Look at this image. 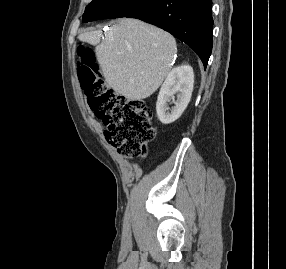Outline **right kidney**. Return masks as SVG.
<instances>
[{
  "mask_svg": "<svg viewBox=\"0 0 286 269\" xmlns=\"http://www.w3.org/2000/svg\"><path fill=\"white\" fill-rule=\"evenodd\" d=\"M194 84L193 69L189 65L178 66L168 74L164 81L156 103V111L159 120L163 124H170L177 120L190 102ZM177 101L171 112H168V104L174 95Z\"/></svg>",
  "mask_w": 286,
  "mask_h": 269,
  "instance_id": "obj_1",
  "label": "right kidney"
}]
</instances>
